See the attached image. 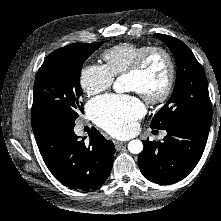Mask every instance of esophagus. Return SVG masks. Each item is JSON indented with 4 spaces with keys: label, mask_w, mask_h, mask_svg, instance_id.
Masks as SVG:
<instances>
[{
    "label": "esophagus",
    "mask_w": 221,
    "mask_h": 221,
    "mask_svg": "<svg viewBox=\"0 0 221 221\" xmlns=\"http://www.w3.org/2000/svg\"><path fill=\"white\" fill-rule=\"evenodd\" d=\"M114 145L116 149H119L121 146L124 145V142L121 141H114Z\"/></svg>",
    "instance_id": "esophagus-1"
}]
</instances>
